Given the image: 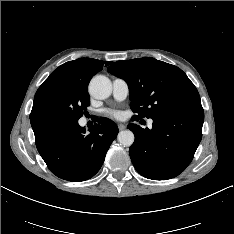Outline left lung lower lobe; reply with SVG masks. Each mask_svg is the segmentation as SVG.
Returning a JSON list of instances; mask_svg holds the SVG:
<instances>
[{"label": "left lung lower lobe", "instance_id": "0a47b994", "mask_svg": "<svg viewBox=\"0 0 234 234\" xmlns=\"http://www.w3.org/2000/svg\"><path fill=\"white\" fill-rule=\"evenodd\" d=\"M202 106L177 110L153 118V128H128L135 141L129 154L137 172L152 180L176 177L190 164L202 138Z\"/></svg>", "mask_w": 234, "mask_h": 234}]
</instances>
